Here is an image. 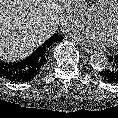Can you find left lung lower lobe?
Segmentation results:
<instances>
[{
    "instance_id": "obj_1",
    "label": "left lung lower lobe",
    "mask_w": 118,
    "mask_h": 118,
    "mask_svg": "<svg viewBox=\"0 0 118 118\" xmlns=\"http://www.w3.org/2000/svg\"><path fill=\"white\" fill-rule=\"evenodd\" d=\"M99 74L108 83L118 84V54L109 57L107 66Z\"/></svg>"
}]
</instances>
